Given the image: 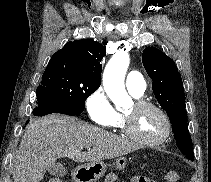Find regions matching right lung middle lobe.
<instances>
[{"instance_id":"obj_1","label":"right lung middle lobe","mask_w":211,"mask_h":182,"mask_svg":"<svg viewBox=\"0 0 211 182\" xmlns=\"http://www.w3.org/2000/svg\"><path fill=\"white\" fill-rule=\"evenodd\" d=\"M41 84L37 97H52L79 114L84 111L85 100L100 86L58 67L46 68Z\"/></svg>"}]
</instances>
